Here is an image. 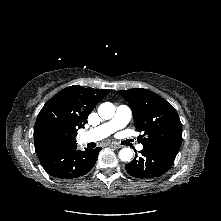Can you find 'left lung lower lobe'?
I'll return each instance as SVG.
<instances>
[{"mask_svg":"<svg viewBox=\"0 0 221 221\" xmlns=\"http://www.w3.org/2000/svg\"><path fill=\"white\" fill-rule=\"evenodd\" d=\"M132 162L125 165L127 173L139 179H153L162 176L172 166L178 150L163 146L143 145Z\"/></svg>","mask_w":221,"mask_h":221,"instance_id":"1","label":"left lung lower lobe"}]
</instances>
